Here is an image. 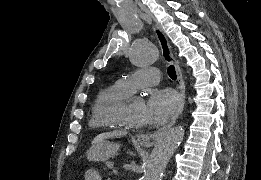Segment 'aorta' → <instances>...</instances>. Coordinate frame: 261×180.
I'll return each mask as SVG.
<instances>
[{"mask_svg":"<svg viewBox=\"0 0 261 180\" xmlns=\"http://www.w3.org/2000/svg\"><path fill=\"white\" fill-rule=\"evenodd\" d=\"M159 57V51L151 43L136 41L130 50V61L138 67L153 64ZM184 137L182 126L168 130L152 150L145 163L143 180H161L163 172Z\"/></svg>","mask_w":261,"mask_h":180,"instance_id":"1","label":"aorta"}]
</instances>
